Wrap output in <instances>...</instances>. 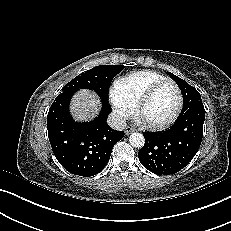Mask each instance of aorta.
Instances as JSON below:
<instances>
[{"label":"aorta","instance_id":"762f6f07","mask_svg":"<svg viewBox=\"0 0 231 231\" xmlns=\"http://www.w3.org/2000/svg\"><path fill=\"white\" fill-rule=\"evenodd\" d=\"M130 144L135 148H142L145 144V138L141 133H132L129 137Z\"/></svg>","mask_w":231,"mask_h":231}]
</instances>
